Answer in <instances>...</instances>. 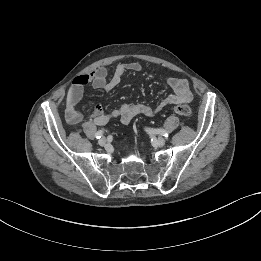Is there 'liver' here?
<instances>
[{
  "label": "liver",
  "mask_w": 261,
  "mask_h": 261,
  "mask_svg": "<svg viewBox=\"0 0 261 261\" xmlns=\"http://www.w3.org/2000/svg\"><path fill=\"white\" fill-rule=\"evenodd\" d=\"M72 100V88L69 89L68 94H67V106L70 105Z\"/></svg>",
  "instance_id": "6515ba94"
}]
</instances>
